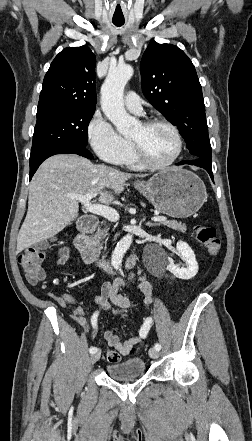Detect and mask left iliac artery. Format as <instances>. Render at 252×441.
I'll use <instances>...</instances> for the list:
<instances>
[{"label": "left iliac artery", "instance_id": "44dca946", "mask_svg": "<svg viewBox=\"0 0 252 441\" xmlns=\"http://www.w3.org/2000/svg\"><path fill=\"white\" fill-rule=\"evenodd\" d=\"M152 322H153L152 318L148 317L146 321L142 325H140L139 333H140V339L142 341H145L147 339L148 330L150 329ZM154 348L159 351L161 349V345L159 343H156Z\"/></svg>", "mask_w": 252, "mask_h": 441}]
</instances>
